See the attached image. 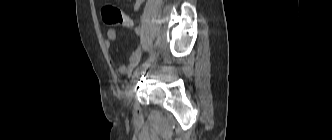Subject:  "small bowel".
<instances>
[{
	"mask_svg": "<svg viewBox=\"0 0 332 140\" xmlns=\"http://www.w3.org/2000/svg\"><path fill=\"white\" fill-rule=\"evenodd\" d=\"M123 1H131V0H123ZM144 0H135L134 1V5H133V9L135 11H137L141 5L143 4ZM117 38V33L114 29L110 28L107 30L106 32V39L104 41V45L106 48H110L111 44L116 40ZM142 58V52L140 49H136L135 51H133V53L131 54L129 61L127 64H121L118 67V72L121 75H129L132 73V71L134 70V68L140 63Z\"/></svg>",
	"mask_w": 332,
	"mask_h": 140,
	"instance_id": "c3829d8e",
	"label": "small bowel"
}]
</instances>
